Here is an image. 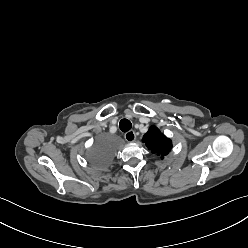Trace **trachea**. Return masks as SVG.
Returning a JSON list of instances; mask_svg holds the SVG:
<instances>
[{"mask_svg": "<svg viewBox=\"0 0 248 248\" xmlns=\"http://www.w3.org/2000/svg\"><path fill=\"white\" fill-rule=\"evenodd\" d=\"M119 127H120L121 131L127 132L131 129L132 124L128 119H122L119 123Z\"/></svg>", "mask_w": 248, "mask_h": 248, "instance_id": "trachea-1", "label": "trachea"}]
</instances>
